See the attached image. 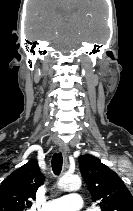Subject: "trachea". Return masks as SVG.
Masks as SVG:
<instances>
[{
	"mask_svg": "<svg viewBox=\"0 0 133 211\" xmlns=\"http://www.w3.org/2000/svg\"><path fill=\"white\" fill-rule=\"evenodd\" d=\"M62 154L61 153H55L52 157V170L55 175H59L62 169Z\"/></svg>",
	"mask_w": 133,
	"mask_h": 211,
	"instance_id": "obj_1",
	"label": "trachea"
}]
</instances>
